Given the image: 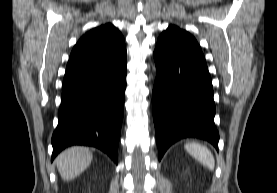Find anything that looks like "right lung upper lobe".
Segmentation results:
<instances>
[{"mask_svg":"<svg viewBox=\"0 0 277 193\" xmlns=\"http://www.w3.org/2000/svg\"><path fill=\"white\" fill-rule=\"evenodd\" d=\"M125 50L124 38L116 27L110 23L96 27L83 35L74 46L65 74L101 66Z\"/></svg>","mask_w":277,"mask_h":193,"instance_id":"cb5924a9","label":"right lung upper lobe"}]
</instances>
